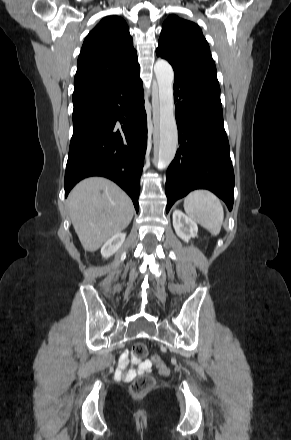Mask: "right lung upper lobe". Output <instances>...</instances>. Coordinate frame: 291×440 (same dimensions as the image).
I'll use <instances>...</instances> for the list:
<instances>
[{
    "instance_id": "cb5924a9",
    "label": "right lung upper lobe",
    "mask_w": 291,
    "mask_h": 440,
    "mask_svg": "<svg viewBox=\"0 0 291 440\" xmlns=\"http://www.w3.org/2000/svg\"><path fill=\"white\" fill-rule=\"evenodd\" d=\"M139 68L125 21L118 16H107L85 38L78 57L74 90L114 83Z\"/></svg>"
}]
</instances>
